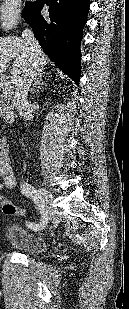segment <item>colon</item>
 Listing matches in <instances>:
<instances>
[{
    "mask_svg": "<svg viewBox=\"0 0 129 309\" xmlns=\"http://www.w3.org/2000/svg\"><path fill=\"white\" fill-rule=\"evenodd\" d=\"M3 212L5 214H12V215H25L26 213L24 209L18 206L12 205L10 203H3Z\"/></svg>",
    "mask_w": 129,
    "mask_h": 309,
    "instance_id": "5ec220e1",
    "label": "colon"
}]
</instances>
